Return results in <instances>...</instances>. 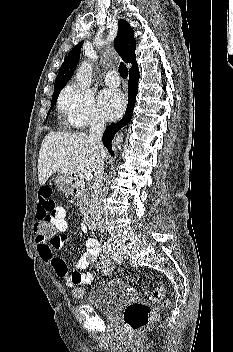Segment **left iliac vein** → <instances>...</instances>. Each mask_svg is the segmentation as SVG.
Segmentation results:
<instances>
[{"instance_id": "4c4485c4", "label": "left iliac vein", "mask_w": 233, "mask_h": 352, "mask_svg": "<svg viewBox=\"0 0 233 352\" xmlns=\"http://www.w3.org/2000/svg\"><path fill=\"white\" fill-rule=\"evenodd\" d=\"M119 256L121 257V260H125L128 258L127 253L123 249L118 250Z\"/></svg>"}]
</instances>
